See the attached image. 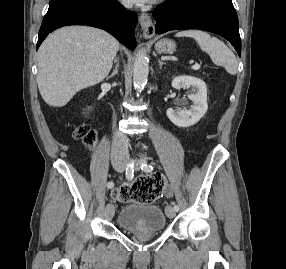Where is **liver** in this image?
Instances as JSON below:
<instances>
[{
    "mask_svg": "<svg viewBox=\"0 0 286 269\" xmlns=\"http://www.w3.org/2000/svg\"><path fill=\"white\" fill-rule=\"evenodd\" d=\"M119 42L107 32L87 26L63 27L38 50L37 84L43 100L63 107L73 96L107 77Z\"/></svg>",
    "mask_w": 286,
    "mask_h": 269,
    "instance_id": "1",
    "label": "liver"
}]
</instances>
